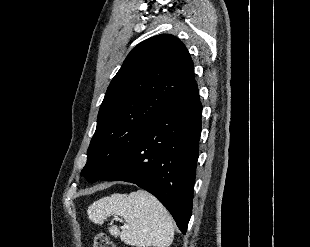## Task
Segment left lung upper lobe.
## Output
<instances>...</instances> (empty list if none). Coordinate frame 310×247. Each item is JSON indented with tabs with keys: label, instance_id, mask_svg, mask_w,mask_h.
Segmentation results:
<instances>
[{
	"label": "left lung upper lobe",
	"instance_id": "obj_1",
	"mask_svg": "<svg viewBox=\"0 0 310 247\" xmlns=\"http://www.w3.org/2000/svg\"><path fill=\"white\" fill-rule=\"evenodd\" d=\"M195 83L190 54L173 35H157L134 47L109 84L81 175L89 182L100 180Z\"/></svg>",
	"mask_w": 310,
	"mask_h": 247
}]
</instances>
